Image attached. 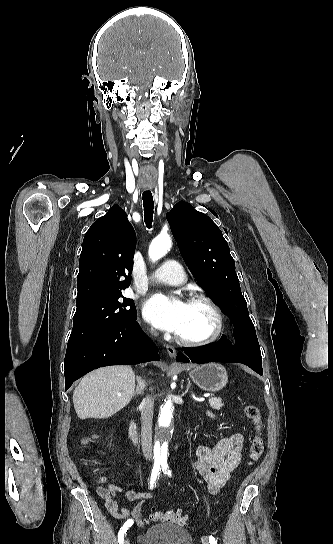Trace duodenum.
I'll list each match as a JSON object with an SVG mask.
<instances>
[{
    "instance_id": "410a0bca",
    "label": "duodenum",
    "mask_w": 333,
    "mask_h": 544,
    "mask_svg": "<svg viewBox=\"0 0 333 544\" xmlns=\"http://www.w3.org/2000/svg\"><path fill=\"white\" fill-rule=\"evenodd\" d=\"M129 436H130L131 440L133 441V443L138 442V429H137V425H136V423H135V421L133 419H131L129 421Z\"/></svg>"
}]
</instances>
